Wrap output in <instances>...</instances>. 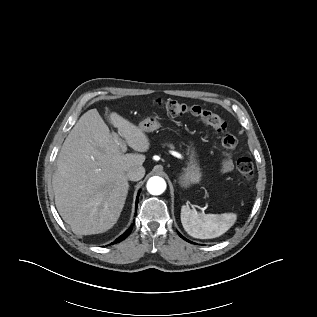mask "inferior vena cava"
<instances>
[{
  "mask_svg": "<svg viewBox=\"0 0 317 317\" xmlns=\"http://www.w3.org/2000/svg\"><path fill=\"white\" fill-rule=\"evenodd\" d=\"M145 175V169L143 166L132 167L126 174L127 178L131 181H139Z\"/></svg>",
  "mask_w": 317,
  "mask_h": 317,
  "instance_id": "1",
  "label": "inferior vena cava"
}]
</instances>
